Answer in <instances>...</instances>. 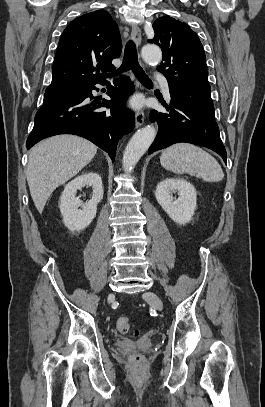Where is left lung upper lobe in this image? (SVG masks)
Wrapping results in <instances>:
<instances>
[{"mask_svg":"<svg viewBox=\"0 0 265 407\" xmlns=\"http://www.w3.org/2000/svg\"><path fill=\"white\" fill-rule=\"evenodd\" d=\"M153 29L155 37L149 42L162 49L164 62L157 70L166 77L171 98L214 117L205 52L197 34L168 16L158 18Z\"/></svg>","mask_w":265,"mask_h":407,"instance_id":"5c2ea615","label":"left lung upper lobe"}]
</instances>
